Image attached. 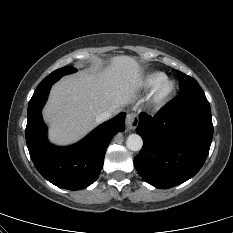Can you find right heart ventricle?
<instances>
[{
    "mask_svg": "<svg viewBox=\"0 0 233 233\" xmlns=\"http://www.w3.org/2000/svg\"><path fill=\"white\" fill-rule=\"evenodd\" d=\"M164 77L161 72L150 73L146 76L143 86L146 88H152L158 84V82Z\"/></svg>",
    "mask_w": 233,
    "mask_h": 233,
    "instance_id": "obj_1",
    "label": "right heart ventricle"
}]
</instances>
